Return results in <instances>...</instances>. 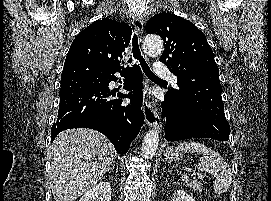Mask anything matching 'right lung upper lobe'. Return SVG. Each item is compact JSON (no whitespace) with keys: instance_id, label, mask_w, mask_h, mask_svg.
Wrapping results in <instances>:
<instances>
[{"instance_id":"obj_1","label":"right lung upper lobe","mask_w":271,"mask_h":201,"mask_svg":"<svg viewBox=\"0 0 271 201\" xmlns=\"http://www.w3.org/2000/svg\"><path fill=\"white\" fill-rule=\"evenodd\" d=\"M131 33L130 26L125 22L109 18L97 20L76 36L65 62L77 59L106 68L124 69L120 61Z\"/></svg>"}]
</instances>
